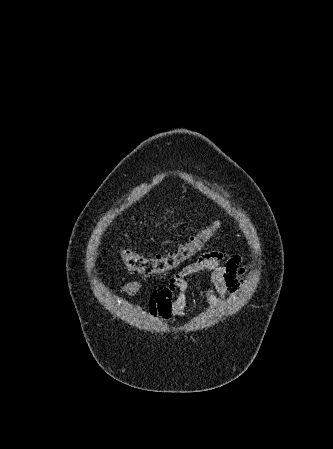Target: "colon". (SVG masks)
<instances>
[{
	"label": "colon",
	"mask_w": 333,
	"mask_h": 449,
	"mask_svg": "<svg viewBox=\"0 0 333 449\" xmlns=\"http://www.w3.org/2000/svg\"><path fill=\"white\" fill-rule=\"evenodd\" d=\"M219 228V222L213 223L211 226L200 230L176 251L157 256H143L132 250L124 249L121 251V258L124 265L131 271L146 276L164 274L175 269L181 262L191 259L214 236Z\"/></svg>",
	"instance_id": "colon-1"
}]
</instances>
